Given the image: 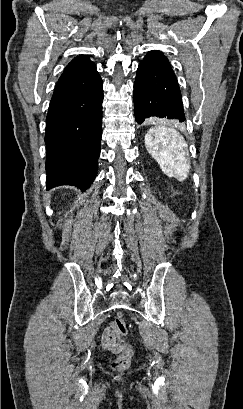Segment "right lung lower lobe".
Segmentation results:
<instances>
[{"label": "right lung lower lobe", "mask_w": 243, "mask_h": 409, "mask_svg": "<svg viewBox=\"0 0 243 409\" xmlns=\"http://www.w3.org/2000/svg\"><path fill=\"white\" fill-rule=\"evenodd\" d=\"M103 82L96 66L63 72L46 118L47 189L74 185L85 191L94 181L102 137Z\"/></svg>", "instance_id": "obj_1"}]
</instances>
